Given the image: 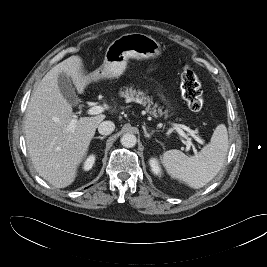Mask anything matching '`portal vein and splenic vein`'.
Returning a JSON list of instances; mask_svg holds the SVG:
<instances>
[{"instance_id": "18ae733b", "label": "portal vein and splenic vein", "mask_w": 267, "mask_h": 267, "mask_svg": "<svg viewBox=\"0 0 267 267\" xmlns=\"http://www.w3.org/2000/svg\"><path fill=\"white\" fill-rule=\"evenodd\" d=\"M103 111H104V107H102V106H93V107H91V108L88 109L87 113L89 115H97V114L102 113ZM75 123H76V119H73L71 121V123H70V128L71 129L74 128ZM176 129L178 130V132L181 135H183L187 139V141H186L187 148H190L191 146L193 147V143H192V141H191V139L189 137H186L185 136V134H184V132H183L182 129H184L185 131H187L189 133V135L191 137H193L198 143H200V144H203L204 143L203 140L199 136H197L195 134V132L192 129H190L189 127H186L184 125H176ZM194 152L197 153L196 150H194Z\"/></svg>"}]
</instances>
